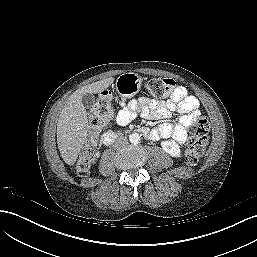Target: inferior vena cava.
<instances>
[{
  "label": "inferior vena cava",
  "mask_w": 257,
  "mask_h": 257,
  "mask_svg": "<svg viewBox=\"0 0 257 257\" xmlns=\"http://www.w3.org/2000/svg\"><path fill=\"white\" fill-rule=\"evenodd\" d=\"M127 144H128V139L126 137L120 136L115 140L113 147L120 148Z\"/></svg>",
  "instance_id": "obj_1"
}]
</instances>
